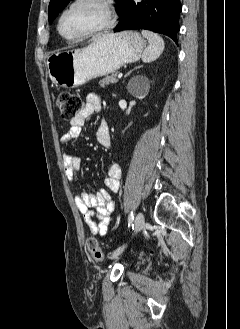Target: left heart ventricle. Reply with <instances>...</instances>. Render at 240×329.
I'll use <instances>...</instances> for the list:
<instances>
[{"mask_svg": "<svg viewBox=\"0 0 240 329\" xmlns=\"http://www.w3.org/2000/svg\"><path fill=\"white\" fill-rule=\"evenodd\" d=\"M106 22L103 7L95 2H83L74 6L62 19L61 31L66 36H76Z\"/></svg>", "mask_w": 240, "mask_h": 329, "instance_id": "obj_1", "label": "left heart ventricle"}]
</instances>
